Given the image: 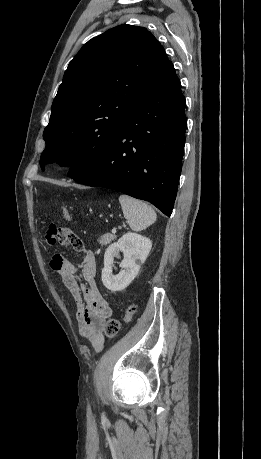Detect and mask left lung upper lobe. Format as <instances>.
Here are the masks:
<instances>
[{"instance_id":"left-lung-upper-lobe-1","label":"left lung upper lobe","mask_w":261,"mask_h":459,"mask_svg":"<svg viewBox=\"0 0 261 459\" xmlns=\"http://www.w3.org/2000/svg\"><path fill=\"white\" fill-rule=\"evenodd\" d=\"M173 69L144 27L120 25L88 41L64 74L44 130L40 166L93 170L143 100Z\"/></svg>"}]
</instances>
